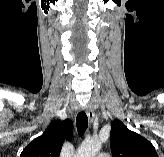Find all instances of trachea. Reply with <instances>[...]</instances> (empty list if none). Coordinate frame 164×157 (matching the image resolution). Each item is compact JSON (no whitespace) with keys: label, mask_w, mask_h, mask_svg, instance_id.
<instances>
[{"label":"trachea","mask_w":164,"mask_h":157,"mask_svg":"<svg viewBox=\"0 0 164 157\" xmlns=\"http://www.w3.org/2000/svg\"><path fill=\"white\" fill-rule=\"evenodd\" d=\"M76 126L79 136H82L88 127V117L84 111L78 113Z\"/></svg>","instance_id":"3493384b"}]
</instances>
